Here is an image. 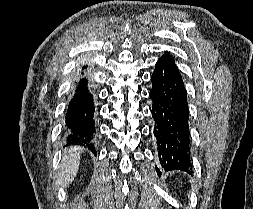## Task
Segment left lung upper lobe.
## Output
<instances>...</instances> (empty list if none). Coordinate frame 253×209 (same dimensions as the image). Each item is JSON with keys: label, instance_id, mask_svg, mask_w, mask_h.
Instances as JSON below:
<instances>
[{"label": "left lung upper lobe", "instance_id": "obj_1", "mask_svg": "<svg viewBox=\"0 0 253 209\" xmlns=\"http://www.w3.org/2000/svg\"><path fill=\"white\" fill-rule=\"evenodd\" d=\"M162 58L168 59V60H171V61H174V60L170 57V55H169L168 53L165 54V55H163Z\"/></svg>", "mask_w": 253, "mask_h": 209}]
</instances>
